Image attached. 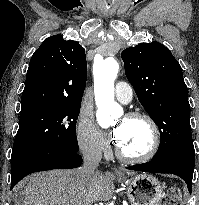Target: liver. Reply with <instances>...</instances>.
Wrapping results in <instances>:
<instances>
[{
	"label": "liver",
	"instance_id": "obj_1",
	"mask_svg": "<svg viewBox=\"0 0 199 205\" xmlns=\"http://www.w3.org/2000/svg\"><path fill=\"white\" fill-rule=\"evenodd\" d=\"M27 181L21 205H92L110 200L115 189L108 176L99 173L96 181L90 183L81 178L79 169L36 173Z\"/></svg>",
	"mask_w": 199,
	"mask_h": 205
}]
</instances>
